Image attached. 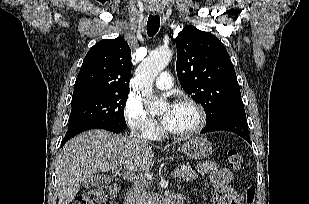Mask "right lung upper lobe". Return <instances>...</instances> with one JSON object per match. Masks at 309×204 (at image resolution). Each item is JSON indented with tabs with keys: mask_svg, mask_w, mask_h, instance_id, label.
Segmentation results:
<instances>
[{
	"mask_svg": "<svg viewBox=\"0 0 309 204\" xmlns=\"http://www.w3.org/2000/svg\"><path fill=\"white\" fill-rule=\"evenodd\" d=\"M131 50L123 37L104 39L87 53L77 76L72 103L90 98L128 93Z\"/></svg>",
	"mask_w": 309,
	"mask_h": 204,
	"instance_id": "right-lung-upper-lobe-1",
	"label": "right lung upper lobe"
}]
</instances>
